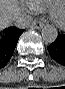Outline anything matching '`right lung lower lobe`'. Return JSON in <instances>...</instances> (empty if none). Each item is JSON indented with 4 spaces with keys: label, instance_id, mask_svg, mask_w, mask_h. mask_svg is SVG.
<instances>
[{
    "label": "right lung lower lobe",
    "instance_id": "obj_1",
    "mask_svg": "<svg viewBox=\"0 0 65 89\" xmlns=\"http://www.w3.org/2000/svg\"><path fill=\"white\" fill-rule=\"evenodd\" d=\"M24 29L10 27L4 31L5 36L0 38V69L3 68L13 55L20 35Z\"/></svg>",
    "mask_w": 65,
    "mask_h": 89
}]
</instances>
